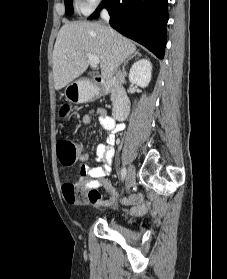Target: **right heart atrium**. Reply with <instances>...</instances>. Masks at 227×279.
Instances as JSON below:
<instances>
[{
  "label": "right heart atrium",
  "instance_id": "d8ad5b80",
  "mask_svg": "<svg viewBox=\"0 0 227 279\" xmlns=\"http://www.w3.org/2000/svg\"><path fill=\"white\" fill-rule=\"evenodd\" d=\"M103 0H76L77 6L84 12H91L98 7Z\"/></svg>",
  "mask_w": 227,
  "mask_h": 279
}]
</instances>
